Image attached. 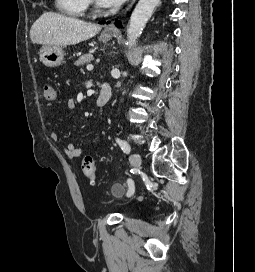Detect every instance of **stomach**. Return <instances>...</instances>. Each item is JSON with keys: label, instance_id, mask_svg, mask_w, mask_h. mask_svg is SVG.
Instances as JSON below:
<instances>
[{"label": "stomach", "instance_id": "0dacf381", "mask_svg": "<svg viewBox=\"0 0 255 272\" xmlns=\"http://www.w3.org/2000/svg\"><path fill=\"white\" fill-rule=\"evenodd\" d=\"M112 38V34L101 33L99 40L106 43ZM40 61L47 67L60 66L64 59L62 46L46 45L39 50Z\"/></svg>", "mask_w": 255, "mask_h": 272}]
</instances>
